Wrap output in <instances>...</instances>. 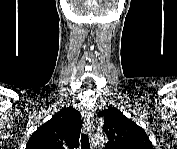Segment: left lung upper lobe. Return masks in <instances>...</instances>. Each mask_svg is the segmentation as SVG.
Listing matches in <instances>:
<instances>
[{
  "mask_svg": "<svg viewBox=\"0 0 177 149\" xmlns=\"http://www.w3.org/2000/svg\"><path fill=\"white\" fill-rule=\"evenodd\" d=\"M99 116L104 117L103 129L109 139L106 149H153L144 129L120 110L110 107L100 112Z\"/></svg>",
  "mask_w": 177,
  "mask_h": 149,
  "instance_id": "obj_1",
  "label": "left lung upper lobe"
}]
</instances>
